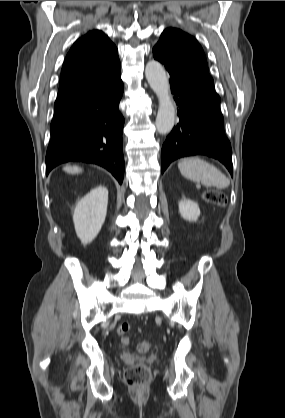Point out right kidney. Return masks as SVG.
I'll use <instances>...</instances> for the list:
<instances>
[{"instance_id": "ca27d5eb", "label": "right kidney", "mask_w": 285, "mask_h": 418, "mask_svg": "<svg viewBox=\"0 0 285 418\" xmlns=\"http://www.w3.org/2000/svg\"><path fill=\"white\" fill-rule=\"evenodd\" d=\"M108 190L104 186L92 189L76 205L73 213L75 231L82 244L92 242L105 222Z\"/></svg>"}]
</instances>
